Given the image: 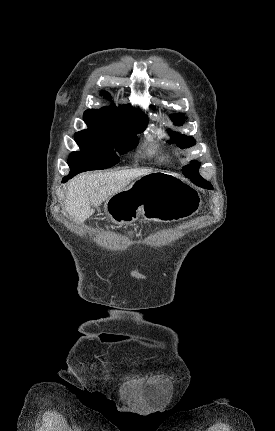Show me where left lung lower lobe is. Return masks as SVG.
<instances>
[{"mask_svg":"<svg viewBox=\"0 0 275 431\" xmlns=\"http://www.w3.org/2000/svg\"><path fill=\"white\" fill-rule=\"evenodd\" d=\"M187 177V176H186ZM189 178L193 183H195L197 186H200L202 188H206V189H212V185L204 180L202 177H187Z\"/></svg>","mask_w":275,"mask_h":431,"instance_id":"obj_1","label":"left lung lower lobe"}]
</instances>
